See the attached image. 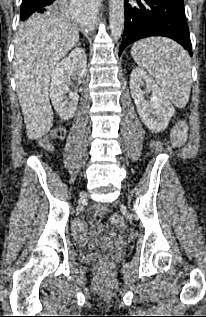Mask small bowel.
Returning a JSON list of instances; mask_svg holds the SVG:
<instances>
[{
  "instance_id": "obj_1",
  "label": "small bowel",
  "mask_w": 206,
  "mask_h": 317,
  "mask_svg": "<svg viewBox=\"0 0 206 317\" xmlns=\"http://www.w3.org/2000/svg\"><path fill=\"white\" fill-rule=\"evenodd\" d=\"M100 232V225L96 221H91L88 227L84 222L77 221L74 226V234L80 243L86 242L90 237ZM131 237V233L125 230L122 234L121 240L127 241Z\"/></svg>"
}]
</instances>
